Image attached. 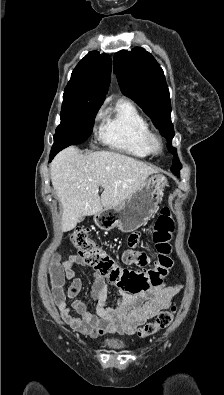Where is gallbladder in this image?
I'll return each mask as SVG.
<instances>
[{"instance_id": "gallbladder-1", "label": "gallbladder", "mask_w": 224, "mask_h": 395, "mask_svg": "<svg viewBox=\"0 0 224 395\" xmlns=\"http://www.w3.org/2000/svg\"><path fill=\"white\" fill-rule=\"evenodd\" d=\"M83 220H84V217H83V216H81V217L78 218V222H79V223L82 222Z\"/></svg>"}]
</instances>
